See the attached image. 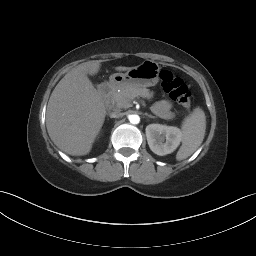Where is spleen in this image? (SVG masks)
Here are the masks:
<instances>
[{
    "label": "spleen",
    "mask_w": 256,
    "mask_h": 256,
    "mask_svg": "<svg viewBox=\"0 0 256 256\" xmlns=\"http://www.w3.org/2000/svg\"><path fill=\"white\" fill-rule=\"evenodd\" d=\"M206 130V116L197 107L185 118L182 124V145L177 152L176 159L184 160L192 155L203 142Z\"/></svg>",
    "instance_id": "obj_1"
}]
</instances>
